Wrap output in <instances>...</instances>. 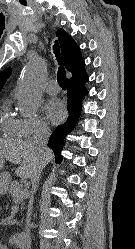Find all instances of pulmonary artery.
Wrapping results in <instances>:
<instances>
[{"mask_svg":"<svg viewBox=\"0 0 135 249\" xmlns=\"http://www.w3.org/2000/svg\"><path fill=\"white\" fill-rule=\"evenodd\" d=\"M45 91L50 95H55L60 91V87L56 81L51 80L46 83Z\"/></svg>","mask_w":135,"mask_h":249,"instance_id":"e3ab8cb5","label":"pulmonary artery"}]
</instances>
